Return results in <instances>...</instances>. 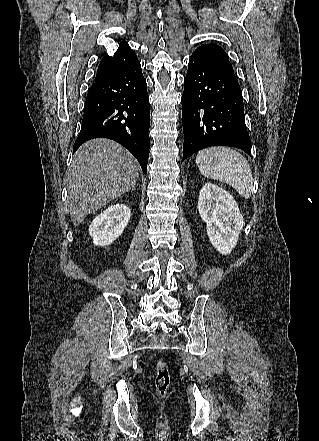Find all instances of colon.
I'll return each instance as SVG.
<instances>
[{
	"instance_id": "colon-1",
	"label": "colon",
	"mask_w": 319,
	"mask_h": 441,
	"mask_svg": "<svg viewBox=\"0 0 319 441\" xmlns=\"http://www.w3.org/2000/svg\"><path fill=\"white\" fill-rule=\"evenodd\" d=\"M170 382V374L167 364L163 360L156 362V387L160 393H164Z\"/></svg>"
}]
</instances>
